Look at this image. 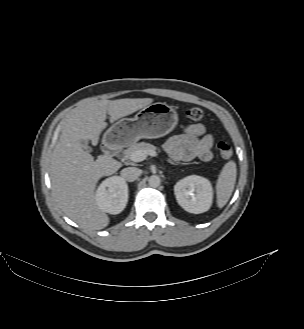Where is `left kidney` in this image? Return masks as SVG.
Wrapping results in <instances>:
<instances>
[{"label":"left kidney","instance_id":"obj_1","mask_svg":"<svg viewBox=\"0 0 304 329\" xmlns=\"http://www.w3.org/2000/svg\"><path fill=\"white\" fill-rule=\"evenodd\" d=\"M174 194L178 204L187 212H206L213 201V188L210 181L197 175L187 176L176 183Z\"/></svg>","mask_w":304,"mask_h":329}]
</instances>
